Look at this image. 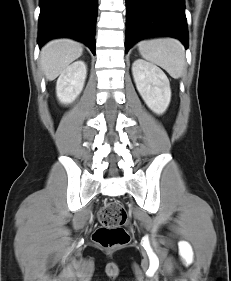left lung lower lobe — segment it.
I'll return each mask as SVG.
<instances>
[{"label":"left lung lower lobe","instance_id":"left-lung-lower-lobe-1","mask_svg":"<svg viewBox=\"0 0 231 281\" xmlns=\"http://www.w3.org/2000/svg\"><path fill=\"white\" fill-rule=\"evenodd\" d=\"M126 52L153 35L175 37L188 47L184 0H126Z\"/></svg>","mask_w":231,"mask_h":281}]
</instances>
